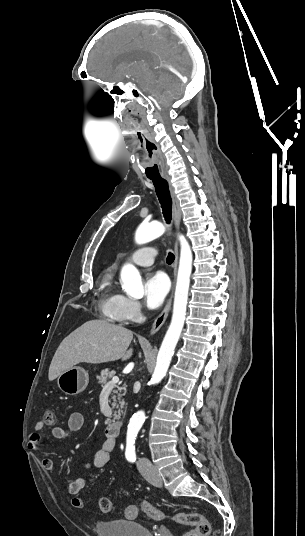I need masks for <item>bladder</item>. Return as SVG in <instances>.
<instances>
[{"instance_id":"31cf9c89","label":"bladder","mask_w":305,"mask_h":536,"mask_svg":"<svg viewBox=\"0 0 305 536\" xmlns=\"http://www.w3.org/2000/svg\"><path fill=\"white\" fill-rule=\"evenodd\" d=\"M94 531L97 536H153L149 529L132 519L114 518L109 521H96Z\"/></svg>"}]
</instances>
